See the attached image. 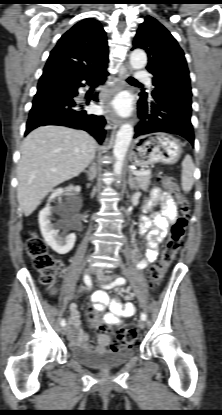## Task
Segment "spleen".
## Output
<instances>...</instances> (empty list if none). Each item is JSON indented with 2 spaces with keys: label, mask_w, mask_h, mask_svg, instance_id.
Returning a JSON list of instances; mask_svg holds the SVG:
<instances>
[{
  "label": "spleen",
  "mask_w": 222,
  "mask_h": 415,
  "mask_svg": "<svg viewBox=\"0 0 222 415\" xmlns=\"http://www.w3.org/2000/svg\"><path fill=\"white\" fill-rule=\"evenodd\" d=\"M194 163L190 155H186L182 162L181 186L185 193H188L194 184Z\"/></svg>",
  "instance_id": "3e777b00"
}]
</instances>
